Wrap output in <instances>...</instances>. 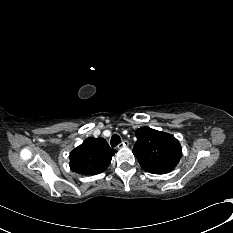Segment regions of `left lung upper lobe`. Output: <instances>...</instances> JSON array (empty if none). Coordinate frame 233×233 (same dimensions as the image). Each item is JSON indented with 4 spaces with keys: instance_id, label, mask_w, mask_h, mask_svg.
Instances as JSON below:
<instances>
[{
    "instance_id": "1",
    "label": "left lung upper lobe",
    "mask_w": 233,
    "mask_h": 233,
    "mask_svg": "<svg viewBox=\"0 0 233 233\" xmlns=\"http://www.w3.org/2000/svg\"><path fill=\"white\" fill-rule=\"evenodd\" d=\"M136 137L133 154L146 172L165 174L176 167L182 155V148L174 136L142 127L136 130Z\"/></svg>"
}]
</instances>
